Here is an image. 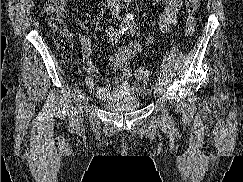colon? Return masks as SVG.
Listing matches in <instances>:
<instances>
[{"label":"colon","mask_w":243,"mask_h":182,"mask_svg":"<svg viewBox=\"0 0 243 182\" xmlns=\"http://www.w3.org/2000/svg\"><path fill=\"white\" fill-rule=\"evenodd\" d=\"M66 0H46L45 12L49 19L51 28L55 31V42L58 49L65 59H70L74 52V43L71 33L66 30ZM200 6V0H185V8L187 12L185 32L187 36H191L195 27V14ZM136 78L140 81L149 79V70L140 67L135 71Z\"/></svg>","instance_id":"1"}]
</instances>
